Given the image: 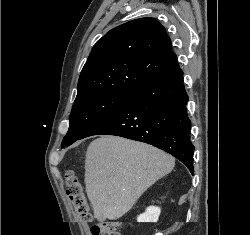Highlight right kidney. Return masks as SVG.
Returning <instances> with one entry per match:
<instances>
[{
    "label": "right kidney",
    "mask_w": 250,
    "mask_h": 235,
    "mask_svg": "<svg viewBox=\"0 0 250 235\" xmlns=\"http://www.w3.org/2000/svg\"><path fill=\"white\" fill-rule=\"evenodd\" d=\"M160 215V208L150 206L143 214H140L137 218L138 222H157Z\"/></svg>",
    "instance_id": "ca27d5eb"
}]
</instances>
